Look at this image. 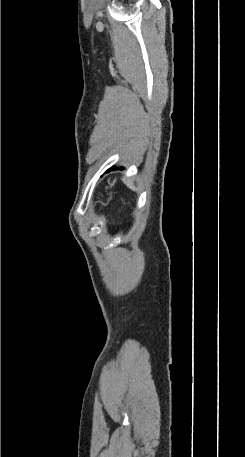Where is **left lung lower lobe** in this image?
<instances>
[{
  "label": "left lung lower lobe",
  "mask_w": 245,
  "mask_h": 457,
  "mask_svg": "<svg viewBox=\"0 0 245 457\" xmlns=\"http://www.w3.org/2000/svg\"><path fill=\"white\" fill-rule=\"evenodd\" d=\"M113 169H116V168H115V167L111 168V170H113ZM108 171H109V170H108ZM108 171H107V172H108Z\"/></svg>",
  "instance_id": "obj_1"
}]
</instances>
